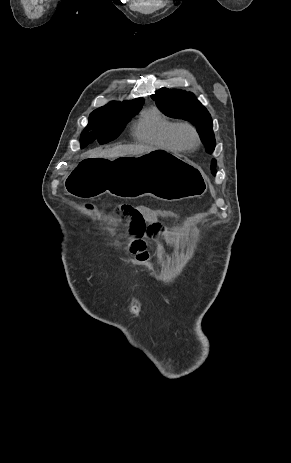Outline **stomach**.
<instances>
[{"label": "stomach", "mask_w": 291, "mask_h": 463, "mask_svg": "<svg viewBox=\"0 0 291 463\" xmlns=\"http://www.w3.org/2000/svg\"><path fill=\"white\" fill-rule=\"evenodd\" d=\"M80 159L66 180L69 194L92 199L109 193L122 199L145 195L164 201L202 196L207 177L192 161L164 150L138 156Z\"/></svg>", "instance_id": "obj_1"}]
</instances>
